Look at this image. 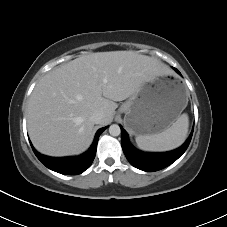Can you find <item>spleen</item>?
Returning <instances> with one entry per match:
<instances>
[{"instance_id": "3e777b00", "label": "spleen", "mask_w": 227, "mask_h": 227, "mask_svg": "<svg viewBox=\"0 0 227 227\" xmlns=\"http://www.w3.org/2000/svg\"><path fill=\"white\" fill-rule=\"evenodd\" d=\"M189 126L187 114H182L166 130L154 135H139L136 143L146 151H169L179 147L186 139Z\"/></svg>"}]
</instances>
